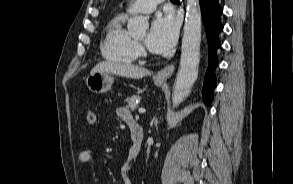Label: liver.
<instances>
[{
    "label": "liver",
    "instance_id": "obj_1",
    "mask_svg": "<svg viewBox=\"0 0 293 184\" xmlns=\"http://www.w3.org/2000/svg\"><path fill=\"white\" fill-rule=\"evenodd\" d=\"M91 72H108L132 79H141L150 74V71L143 67L109 61L96 64Z\"/></svg>",
    "mask_w": 293,
    "mask_h": 184
}]
</instances>
